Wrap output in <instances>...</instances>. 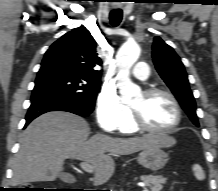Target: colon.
Wrapping results in <instances>:
<instances>
[{
    "instance_id": "obj_1",
    "label": "colon",
    "mask_w": 218,
    "mask_h": 191,
    "mask_svg": "<svg viewBox=\"0 0 218 191\" xmlns=\"http://www.w3.org/2000/svg\"><path fill=\"white\" fill-rule=\"evenodd\" d=\"M23 191H43L41 188H35V187H28V188H24Z\"/></svg>"
}]
</instances>
